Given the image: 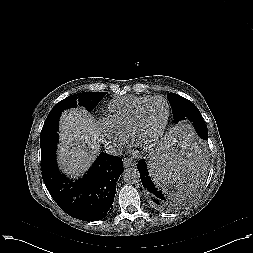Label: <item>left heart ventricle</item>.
Listing matches in <instances>:
<instances>
[{
    "label": "left heart ventricle",
    "mask_w": 253,
    "mask_h": 253,
    "mask_svg": "<svg viewBox=\"0 0 253 253\" xmlns=\"http://www.w3.org/2000/svg\"><path fill=\"white\" fill-rule=\"evenodd\" d=\"M167 106L164 100L151 101L143 110L135 132V141L145 144L150 141L162 127L166 118Z\"/></svg>",
    "instance_id": "b2bd125f"
}]
</instances>
